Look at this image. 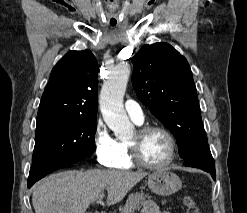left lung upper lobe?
<instances>
[{"mask_svg":"<svg viewBox=\"0 0 247 213\" xmlns=\"http://www.w3.org/2000/svg\"><path fill=\"white\" fill-rule=\"evenodd\" d=\"M132 62L138 98L175 136L186 159L199 143L208 142L186 58L167 43H155L144 45Z\"/></svg>","mask_w":247,"mask_h":213,"instance_id":"1","label":"left lung upper lobe"}]
</instances>
